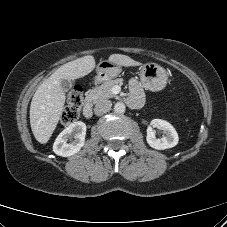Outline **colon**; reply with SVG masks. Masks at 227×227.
Listing matches in <instances>:
<instances>
[{
    "instance_id": "1",
    "label": "colon",
    "mask_w": 227,
    "mask_h": 227,
    "mask_svg": "<svg viewBox=\"0 0 227 227\" xmlns=\"http://www.w3.org/2000/svg\"><path fill=\"white\" fill-rule=\"evenodd\" d=\"M83 105V92L78 86L74 87L68 94L66 104L62 113L61 121L69 125L78 120Z\"/></svg>"
}]
</instances>
